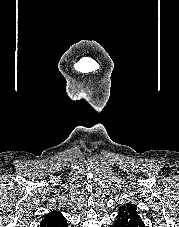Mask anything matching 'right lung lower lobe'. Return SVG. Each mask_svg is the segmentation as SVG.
<instances>
[{
  "mask_svg": "<svg viewBox=\"0 0 179 227\" xmlns=\"http://www.w3.org/2000/svg\"><path fill=\"white\" fill-rule=\"evenodd\" d=\"M64 227H68V224H67V225H65Z\"/></svg>",
  "mask_w": 179,
  "mask_h": 227,
  "instance_id": "1",
  "label": "right lung lower lobe"
}]
</instances>
